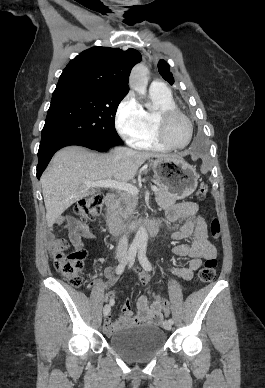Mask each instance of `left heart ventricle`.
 <instances>
[{
  "instance_id": "b2bd125f",
  "label": "left heart ventricle",
  "mask_w": 265,
  "mask_h": 388,
  "mask_svg": "<svg viewBox=\"0 0 265 388\" xmlns=\"http://www.w3.org/2000/svg\"><path fill=\"white\" fill-rule=\"evenodd\" d=\"M164 133L167 140L175 146L185 143L187 129L184 120L177 114L169 116L164 125Z\"/></svg>"
}]
</instances>
